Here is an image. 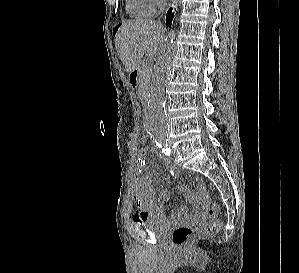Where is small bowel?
<instances>
[{
    "instance_id": "obj_1",
    "label": "small bowel",
    "mask_w": 299,
    "mask_h": 273,
    "mask_svg": "<svg viewBox=\"0 0 299 273\" xmlns=\"http://www.w3.org/2000/svg\"><path fill=\"white\" fill-rule=\"evenodd\" d=\"M147 152V149L142 148L138 153L136 164L140 172L141 170H143V167L145 165V156ZM164 164L172 177L177 178L179 176L178 168L171 161L164 160ZM135 186L136 190L134 201L136 203V211L133 215V220L137 222L148 215H155L158 218H164V205L167 204L171 198L169 191L162 190L158 196L159 203H157L155 193L151 187L150 176H138L135 181ZM180 190L192 204H194L195 206H200V199L197 195H195L185 187H180ZM190 218L191 216L187 215V209L185 207L180 208L172 215L173 222H178L183 219Z\"/></svg>"
}]
</instances>
